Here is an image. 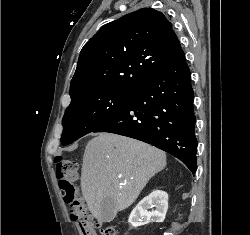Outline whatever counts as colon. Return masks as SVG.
I'll list each match as a JSON object with an SVG mask.
<instances>
[{
	"label": "colon",
	"instance_id": "1",
	"mask_svg": "<svg viewBox=\"0 0 250 235\" xmlns=\"http://www.w3.org/2000/svg\"><path fill=\"white\" fill-rule=\"evenodd\" d=\"M56 175L64 201L71 207L72 218L77 220L84 235H93L98 223L87 213L82 198L78 195L76 181L79 178L78 163L63 157L55 158ZM114 226H107L102 230V235H116Z\"/></svg>",
	"mask_w": 250,
	"mask_h": 235
}]
</instances>
